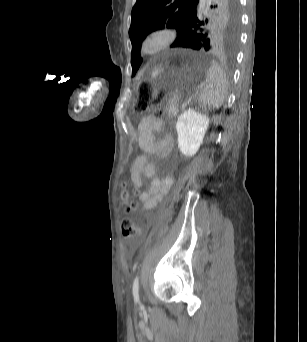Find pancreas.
I'll use <instances>...</instances> for the list:
<instances>
[{
	"mask_svg": "<svg viewBox=\"0 0 307 342\" xmlns=\"http://www.w3.org/2000/svg\"><path fill=\"white\" fill-rule=\"evenodd\" d=\"M178 109V104L177 103H170L169 104V107H168V115L169 116H172L173 115V113L175 112V110H177Z\"/></svg>",
	"mask_w": 307,
	"mask_h": 342,
	"instance_id": "pancreas-1",
	"label": "pancreas"
}]
</instances>
